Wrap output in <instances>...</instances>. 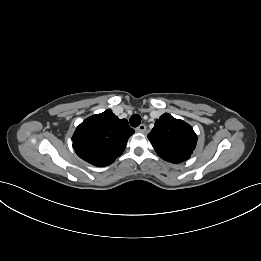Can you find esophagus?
I'll list each match as a JSON object with an SVG mask.
<instances>
[{
	"instance_id": "34e87169",
	"label": "esophagus",
	"mask_w": 261,
	"mask_h": 261,
	"mask_svg": "<svg viewBox=\"0 0 261 261\" xmlns=\"http://www.w3.org/2000/svg\"><path fill=\"white\" fill-rule=\"evenodd\" d=\"M136 131H137V132H140V133H145V132H146V126H145V124L139 125V126L136 128Z\"/></svg>"
}]
</instances>
